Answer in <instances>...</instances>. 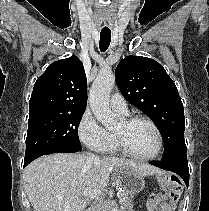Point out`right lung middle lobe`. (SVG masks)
<instances>
[{
    "label": "right lung middle lobe",
    "instance_id": "1",
    "mask_svg": "<svg viewBox=\"0 0 209 211\" xmlns=\"http://www.w3.org/2000/svg\"><path fill=\"white\" fill-rule=\"evenodd\" d=\"M83 113L30 114L24 163L58 149L81 151L78 126Z\"/></svg>",
    "mask_w": 209,
    "mask_h": 211
}]
</instances>
